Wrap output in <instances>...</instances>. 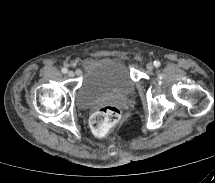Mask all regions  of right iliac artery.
Segmentation results:
<instances>
[{
  "label": "right iliac artery",
  "mask_w": 215,
  "mask_h": 183,
  "mask_svg": "<svg viewBox=\"0 0 215 183\" xmlns=\"http://www.w3.org/2000/svg\"><path fill=\"white\" fill-rule=\"evenodd\" d=\"M61 71H62V73H64V74H65V73H67V71H68V70H67V68H62V70H61Z\"/></svg>",
  "instance_id": "82829eb1"
}]
</instances>
